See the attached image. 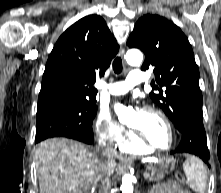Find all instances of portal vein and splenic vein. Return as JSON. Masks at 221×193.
Masks as SVG:
<instances>
[{
	"label": "portal vein and splenic vein",
	"instance_id": "1",
	"mask_svg": "<svg viewBox=\"0 0 221 193\" xmlns=\"http://www.w3.org/2000/svg\"><path fill=\"white\" fill-rule=\"evenodd\" d=\"M149 176H150V174H149L148 172H145V173H144V178H145V179H148Z\"/></svg>",
	"mask_w": 221,
	"mask_h": 193
}]
</instances>
